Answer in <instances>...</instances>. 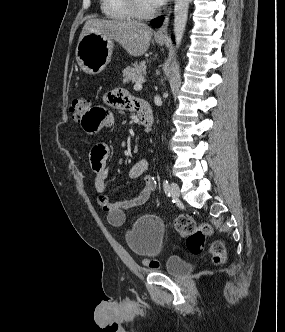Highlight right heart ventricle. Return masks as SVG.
<instances>
[{"mask_svg":"<svg viewBox=\"0 0 285 332\" xmlns=\"http://www.w3.org/2000/svg\"><path fill=\"white\" fill-rule=\"evenodd\" d=\"M102 14L110 20L127 21L133 18L126 0H100Z\"/></svg>","mask_w":285,"mask_h":332,"instance_id":"e07e8e85","label":"right heart ventricle"}]
</instances>
